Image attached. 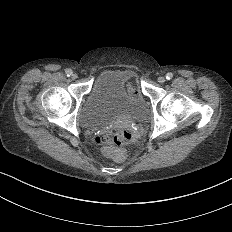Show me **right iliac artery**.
Wrapping results in <instances>:
<instances>
[{"instance_id": "obj_1", "label": "right iliac artery", "mask_w": 232, "mask_h": 232, "mask_svg": "<svg viewBox=\"0 0 232 232\" xmlns=\"http://www.w3.org/2000/svg\"><path fill=\"white\" fill-rule=\"evenodd\" d=\"M65 73L67 77H70L72 75V71L70 69H67Z\"/></svg>"}]
</instances>
